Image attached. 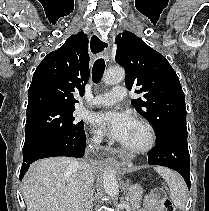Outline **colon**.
Returning <instances> with one entry per match:
<instances>
[{
    "instance_id": "colon-1",
    "label": "colon",
    "mask_w": 209,
    "mask_h": 211,
    "mask_svg": "<svg viewBox=\"0 0 209 211\" xmlns=\"http://www.w3.org/2000/svg\"><path fill=\"white\" fill-rule=\"evenodd\" d=\"M164 211H176L174 204L168 198L163 202Z\"/></svg>"
}]
</instances>
